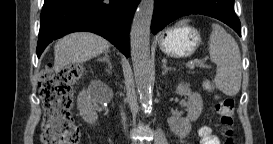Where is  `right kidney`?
<instances>
[{
    "label": "right kidney",
    "mask_w": 273,
    "mask_h": 144,
    "mask_svg": "<svg viewBox=\"0 0 273 144\" xmlns=\"http://www.w3.org/2000/svg\"><path fill=\"white\" fill-rule=\"evenodd\" d=\"M77 107L80 111V115L83 120L91 125H93L97 119V113L92 106V98L90 91H82L77 100Z\"/></svg>",
    "instance_id": "right-kidney-1"
}]
</instances>
